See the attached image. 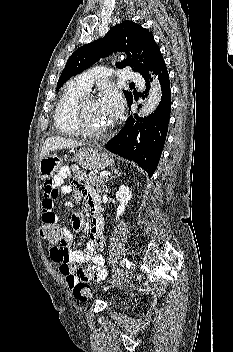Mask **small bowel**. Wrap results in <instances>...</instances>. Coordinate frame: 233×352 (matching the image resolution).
I'll list each match as a JSON object with an SVG mask.
<instances>
[{"mask_svg": "<svg viewBox=\"0 0 233 352\" xmlns=\"http://www.w3.org/2000/svg\"><path fill=\"white\" fill-rule=\"evenodd\" d=\"M71 172L68 167H61L57 174L46 180L43 186L42 200V222L59 226L65 237V244L62 246H51L48 250L50 259L58 266L59 271L65 277L68 286L72 289L78 282L103 281L107 276L103 251L105 249V238L103 235L104 221L100 215L95 192L72 179L70 185L66 180ZM73 191V199L76 202H87L91 210V225L89 241L84 250H69L73 242L74 234L65 226H60L58 217L53 211L54 200L59 195L68 194ZM72 227L81 230L85 220L79 211L71 216ZM82 265V266H79Z\"/></svg>", "mask_w": 233, "mask_h": 352, "instance_id": "small-bowel-1", "label": "small bowel"}]
</instances>
